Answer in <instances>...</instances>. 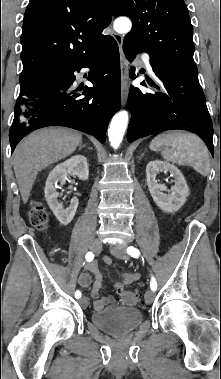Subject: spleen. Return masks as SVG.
I'll return each mask as SVG.
<instances>
[{"label":"spleen","mask_w":221,"mask_h":379,"mask_svg":"<svg viewBox=\"0 0 221 379\" xmlns=\"http://www.w3.org/2000/svg\"><path fill=\"white\" fill-rule=\"evenodd\" d=\"M150 148L161 151L166 161L191 166L202 176H207L210 172L208 149L194 134L182 131L164 132L151 141Z\"/></svg>","instance_id":"1"}]
</instances>
